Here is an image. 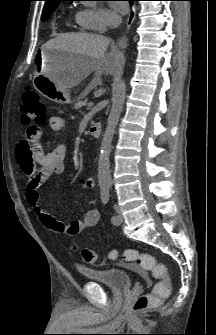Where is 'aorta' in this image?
Listing matches in <instances>:
<instances>
[{
    "mask_svg": "<svg viewBox=\"0 0 216 335\" xmlns=\"http://www.w3.org/2000/svg\"><path fill=\"white\" fill-rule=\"evenodd\" d=\"M125 97L126 83L124 80H121L116 84L112 95V107L100 147L98 161V182L101 187L111 185L109 158L112 149L113 136L115 134V130L120 119Z\"/></svg>",
    "mask_w": 216,
    "mask_h": 335,
    "instance_id": "762f6f07",
    "label": "aorta"
}]
</instances>
